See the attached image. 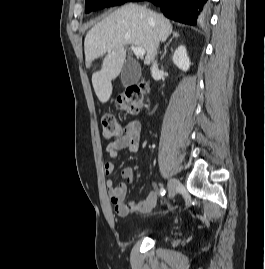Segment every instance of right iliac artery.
<instances>
[{"instance_id": "1", "label": "right iliac artery", "mask_w": 265, "mask_h": 269, "mask_svg": "<svg viewBox=\"0 0 265 269\" xmlns=\"http://www.w3.org/2000/svg\"><path fill=\"white\" fill-rule=\"evenodd\" d=\"M159 192H160L161 196L165 195V189L164 188H161Z\"/></svg>"}]
</instances>
